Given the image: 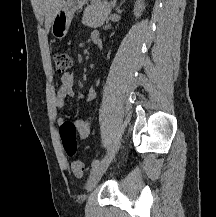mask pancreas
I'll return each instance as SVG.
<instances>
[{
	"label": "pancreas",
	"instance_id": "pancreas-1",
	"mask_svg": "<svg viewBox=\"0 0 216 217\" xmlns=\"http://www.w3.org/2000/svg\"><path fill=\"white\" fill-rule=\"evenodd\" d=\"M113 8L112 3L96 2L88 5L83 13L82 23L89 27H101L107 21Z\"/></svg>",
	"mask_w": 216,
	"mask_h": 217
}]
</instances>
